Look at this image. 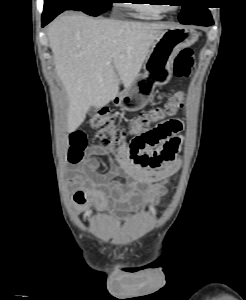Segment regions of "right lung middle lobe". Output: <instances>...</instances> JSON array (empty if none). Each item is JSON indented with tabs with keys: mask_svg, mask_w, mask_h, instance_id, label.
Here are the masks:
<instances>
[{
	"mask_svg": "<svg viewBox=\"0 0 246 300\" xmlns=\"http://www.w3.org/2000/svg\"><path fill=\"white\" fill-rule=\"evenodd\" d=\"M110 6L111 0H44L42 16H48L60 10H77L91 16H98Z\"/></svg>",
	"mask_w": 246,
	"mask_h": 300,
	"instance_id": "1",
	"label": "right lung middle lobe"
}]
</instances>
